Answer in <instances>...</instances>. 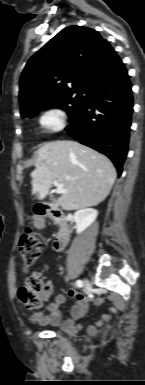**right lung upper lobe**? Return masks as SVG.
Wrapping results in <instances>:
<instances>
[{
	"mask_svg": "<svg viewBox=\"0 0 145 385\" xmlns=\"http://www.w3.org/2000/svg\"><path fill=\"white\" fill-rule=\"evenodd\" d=\"M124 70L115 50L97 31L67 27L27 62L20 78L21 115L72 90L90 91Z\"/></svg>",
	"mask_w": 145,
	"mask_h": 385,
	"instance_id": "right-lung-upper-lobe-1",
	"label": "right lung upper lobe"
}]
</instances>
